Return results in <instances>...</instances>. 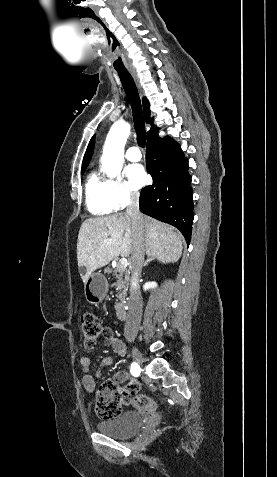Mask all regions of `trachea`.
Returning <instances> with one entry per match:
<instances>
[{"label": "trachea", "instance_id": "trachea-1", "mask_svg": "<svg viewBox=\"0 0 277 477\" xmlns=\"http://www.w3.org/2000/svg\"><path fill=\"white\" fill-rule=\"evenodd\" d=\"M117 73L132 107L138 144L140 147L144 148L146 144L145 122L135 82L127 70L117 71Z\"/></svg>", "mask_w": 277, "mask_h": 477}]
</instances>
